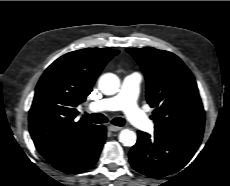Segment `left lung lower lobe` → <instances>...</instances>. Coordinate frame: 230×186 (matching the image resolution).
I'll list each match as a JSON object with an SVG mask.
<instances>
[{
    "instance_id": "1",
    "label": "left lung lower lobe",
    "mask_w": 230,
    "mask_h": 186,
    "mask_svg": "<svg viewBox=\"0 0 230 186\" xmlns=\"http://www.w3.org/2000/svg\"><path fill=\"white\" fill-rule=\"evenodd\" d=\"M201 140L181 138L155 131L154 137L138 131V140L129 153V162L138 172L159 178L179 171L193 157Z\"/></svg>"
}]
</instances>
